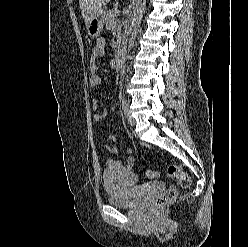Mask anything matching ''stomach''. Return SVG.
Returning <instances> with one entry per match:
<instances>
[{"instance_id": "stomach-1", "label": "stomach", "mask_w": 248, "mask_h": 247, "mask_svg": "<svg viewBox=\"0 0 248 247\" xmlns=\"http://www.w3.org/2000/svg\"><path fill=\"white\" fill-rule=\"evenodd\" d=\"M104 15L105 12L101 10L89 20L86 26L89 37L96 38L103 31Z\"/></svg>"}]
</instances>
